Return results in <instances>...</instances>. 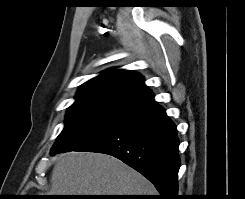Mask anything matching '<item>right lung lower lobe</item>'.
<instances>
[{"instance_id":"right-lung-lower-lobe-1","label":"right lung lower lobe","mask_w":245,"mask_h":199,"mask_svg":"<svg viewBox=\"0 0 245 199\" xmlns=\"http://www.w3.org/2000/svg\"><path fill=\"white\" fill-rule=\"evenodd\" d=\"M178 137L158 104L135 112L100 137L75 149L112 155L151 181L159 199L178 198Z\"/></svg>"}]
</instances>
